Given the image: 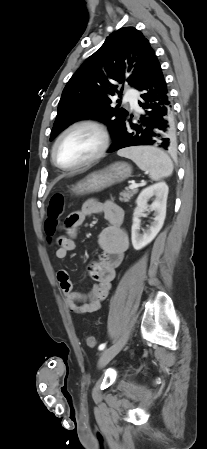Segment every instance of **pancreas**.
Wrapping results in <instances>:
<instances>
[{"label":"pancreas","mask_w":207,"mask_h":449,"mask_svg":"<svg viewBox=\"0 0 207 449\" xmlns=\"http://www.w3.org/2000/svg\"><path fill=\"white\" fill-rule=\"evenodd\" d=\"M138 190L137 189H133V190H128L126 189L125 191L120 193V198L119 200L121 202H129V200L135 195L137 194Z\"/></svg>","instance_id":"cf45deb5"}]
</instances>
